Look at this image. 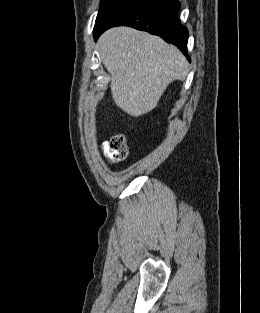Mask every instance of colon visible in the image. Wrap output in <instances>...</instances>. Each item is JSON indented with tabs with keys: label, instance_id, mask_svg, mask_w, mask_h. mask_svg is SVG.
I'll return each mask as SVG.
<instances>
[{
	"label": "colon",
	"instance_id": "obj_1",
	"mask_svg": "<svg viewBox=\"0 0 260 313\" xmlns=\"http://www.w3.org/2000/svg\"><path fill=\"white\" fill-rule=\"evenodd\" d=\"M104 154L112 164L124 160L128 154L125 136L123 134L112 136V138L104 144Z\"/></svg>",
	"mask_w": 260,
	"mask_h": 313
}]
</instances>
